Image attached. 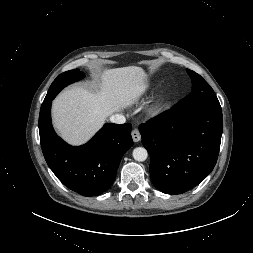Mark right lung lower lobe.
Returning a JSON list of instances; mask_svg holds the SVG:
<instances>
[{
    "label": "right lung lower lobe",
    "instance_id": "obj_1",
    "mask_svg": "<svg viewBox=\"0 0 253 253\" xmlns=\"http://www.w3.org/2000/svg\"><path fill=\"white\" fill-rule=\"evenodd\" d=\"M53 99L43 102L39 115L40 143L48 166L66 187L80 195L102 194L113 184L122 156L133 145L131 124L107 123L88 143L74 147L53 130Z\"/></svg>",
    "mask_w": 253,
    "mask_h": 253
}]
</instances>
